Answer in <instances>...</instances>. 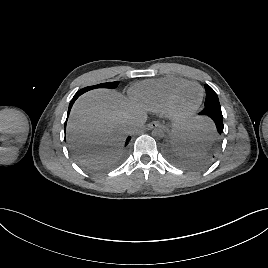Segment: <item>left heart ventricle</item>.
<instances>
[{
  "instance_id": "left-heart-ventricle-1",
  "label": "left heart ventricle",
  "mask_w": 268,
  "mask_h": 268,
  "mask_svg": "<svg viewBox=\"0 0 268 268\" xmlns=\"http://www.w3.org/2000/svg\"><path fill=\"white\" fill-rule=\"evenodd\" d=\"M200 90L196 86L185 88L176 98L175 107L178 111L185 112L192 109L198 102Z\"/></svg>"
}]
</instances>
